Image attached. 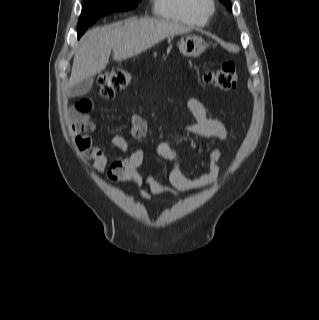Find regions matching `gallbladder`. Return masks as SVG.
I'll return each mask as SVG.
<instances>
[{"instance_id": "gallbladder-1", "label": "gallbladder", "mask_w": 319, "mask_h": 320, "mask_svg": "<svg viewBox=\"0 0 319 320\" xmlns=\"http://www.w3.org/2000/svg\"><path fill=\"white\" fill-rule=\"evenodd\" d=\"M93 85V79L89 78L83 80L82 82L72 86L69 89L68 95L69 97L82 96L90 91Z\"/></svg>"}]
</instances>
